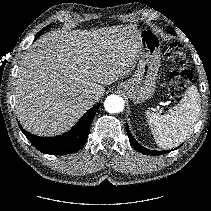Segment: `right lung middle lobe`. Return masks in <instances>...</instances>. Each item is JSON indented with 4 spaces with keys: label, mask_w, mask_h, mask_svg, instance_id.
<instances>
[{
    "label": "right lung middle lobe",
    "mask_w": 211,
    "mask_h": 211,
    "mask_svg": "<svg viewBox=\"0 0 211 211\" xmlns=\"http://www.w3.org/2000/svg\"><path fill=\"white\" fill-rule=\"evenodd\" d=\"M49 27H50V25H48V26H46L45 28H43V29L37 34L36 38H38V37L43 33L44 30L49 29ZM36 38H35V39H36Z\"/></svg>",
    "instance_id": "right-lung-middle-lobe-1"
}]
</instances>
